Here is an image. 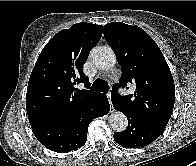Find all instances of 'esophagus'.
Listing matches in <instances>:
<instances>
[{
    "mask_svg": "<svg viewBox=\"0 0 196 166\" xmlns=\"http://www.w3.org/2000/svg\"><path fill=\"white\" fill-rule=\"evenodd\" d=\"M107 97H108L110 106H111V108L113 109V104H112V101H111V92H109V93L107 94Z\"/></svg>",
    "mask_w": 196,
    "mask_h": 166,
    "instance_id": "esophagus-1",
    "label": "esophagus"
}]
</instances>
